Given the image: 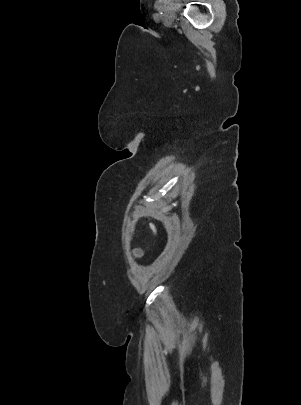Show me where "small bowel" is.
I'll use <instances>...</instances> for the list:
<instances>
[{
    "label": "small bowel",
    "instance_id": "c3829d8e",
    "mask_svg": "<svg viewBox=\"0 0 301 405\" xmlns=\"http://www.w3.org/2000/svg\"><path fill=\"white\" fill-rule=\"evenodd\" d=\"M142 254V250L139 248L134 249L133 251V256L134 257H139Z\"/></svg>",
    "mask_w": 301,
    "mask_h": 405
}]
</instances>
